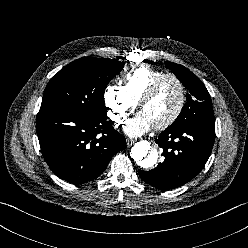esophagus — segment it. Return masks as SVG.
I'll return each instance as SVG.
<instances>
[{"mask_svg": "<svg viewBox=\"0 0 248 248\" xmlns=\"http://www.w3.org/2000/svg\"><path fill=\"white\" fill-rule=\"evenodd\" d=\"M136 140L134 139H131V138H127L126 139V143H127V146H131L135 143Z\"/></svg>", "mask_w": 248, "mask_h": 248, "instance_id": "obj_1", "label": "esophagus"}]
</instances>
